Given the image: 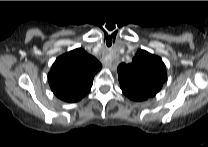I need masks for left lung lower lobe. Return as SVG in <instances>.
Instances as JSON below:
<instances>
[{"label": "left lung lower lobe", "instance_id": "left-lung-lower-lobe-1", "mask_svg": "<svg viewBox=\"0 0 208 147\" xmlns=\"http://www.w3.org/2000/svg\"><path fill=\"white\" fill-rule=\"evenodd\" d=\"M128 98H130L131 100L134 101H142V100H146L147 98L142 95V94H138V93H129V92H125L124 93Z\"/></svg>", "mask_w": 208, "mask_h": 147}]
</instances>
